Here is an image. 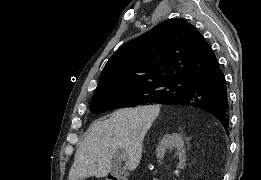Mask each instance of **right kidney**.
<instances>
[{"mask_svg":"<svg viewBox=\"0 0 261 180\" xmlns=\"http://www.w3.org/2000/svg\"><path fill=\"white\" fill-rule=\"evenodd\" d=\"M168 148H177V156L179 158V168L183 170L186 166V150L184 148V142L180 136V134H166L164 138H162L159 148L156 150L157 158H164L166 154V150Z\"/></svg>","mask_w":261,"mask_h":180,"instance_id":"ca27d5eb","label":"right kidney"}]
</instances>
